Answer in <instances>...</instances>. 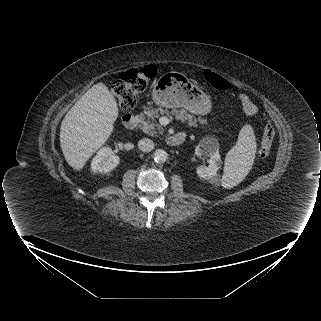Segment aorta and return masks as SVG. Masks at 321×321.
Wrapping results in <instances>:
<instances>
[{"instance_id":"762f6f07","label":"aorta","mask_w":321,"mask_h":321,"mask_svg":"<svg viewBox=\"0 0 321 321\" xmlns=\"http://www.w3.org/2000/svg\"><path fill=\"white\" fill-rule=\"evenodd\" d=\"M168 158V154L163 149H157L153 154V159L156 163H164Z\"/></svg>"}]
</instances>
